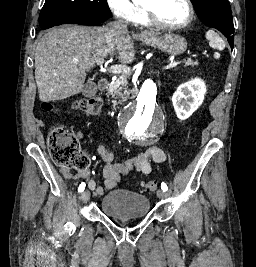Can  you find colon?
Masks as SVG:
<instances>
[{
  "label": "colon",
  "instance_id": "5ec220e1",
  "mask_svg": "<svg viewBox=\"0 0 256 267\" xmlns=\"http://www.w3.org/2000/svg\"><path fill=\"white\" fill-rule=\"evenodd\" d=\"M76 110L84 114H95L100 110L101 103L98 99L87 97L77 100L73 103ZM42 108L50 112L54 105L51 102H44ZM48 144L51 156L57 164L72 167L84 168L89 162L87 154L81 150L79 143L74 137L61 127H56L51 131L48 138ZM159 187L157 181H150L141 184L145 191L155 192Z\"/></svg>",
  "mask_w": 256,
  "mask_h": 267
}]
</instances>
